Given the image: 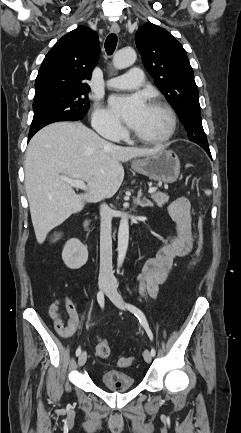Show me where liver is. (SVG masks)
<instances>
[{
	"instance_id": "6515ba94",
	"label": "liver",
	"mask_w": 241,
	"mask_h": 433,
	"mask_svg": "<svg viewBox=\"0 0 241 433\" xmlns=\"http://www.w3.org/2000/svg\"><path fill=\"white\" fill-rule=\"evenodd\" d=\"M161 149L117 146L79 122H57L41 129L31 139L25 159V189L38 243L86 202L111 198L124 179L122 162ZM61 176L85 181L87 193L76 194Z\"/></svg>"
}]
</instances>
